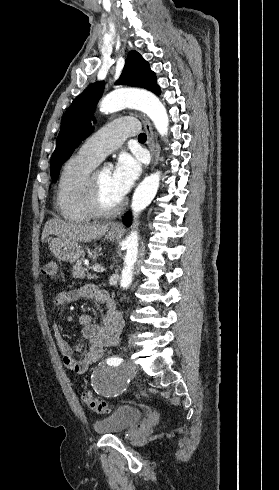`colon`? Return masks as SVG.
Here are the masks:
<instances>
[{
    "label": "colon",
    "instance_id": "5ec220e1",
    "mask_svg": "<svg viewBox=\"0 0 279 490\" xmlns=\"http://www.w3.org/2000/svg\"><path fill=\"white\" fill-rule=\"evenodd\" d=\"M58 267H59L58 261L51 260L42 267V274L44 276L57 277ZM83 400L87 405V407L93 412H96L98 414H106L111 412L112 409L111 404L104 399H98L96 397H93L90 393H88L83 395Z\"/></svg>",
    "mask_w": 279,
    "mask_h": 490
}]
</instances>
